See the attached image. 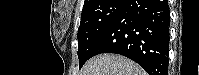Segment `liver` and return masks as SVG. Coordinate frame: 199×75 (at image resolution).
<instances>
[{
  "instance_id": "6515ba94",
  "label": "liver",
  "mask_w": 199,
  "mask_h": 75,
  "mask_svg": "<svg viewBox=\"0 0 199 75\" xmlns=\"http://www.w3.org/2000/svg\"><path fill=\"white\" fill-rule=\"evenodd\" d=\"M80 75H146V72L126 57L102 54L88 60Z\"/></svg>"
}]
</instances>
